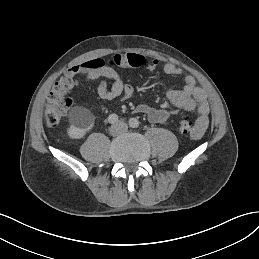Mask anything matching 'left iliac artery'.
I'll return each instance as SVG.
<instances>
[{
    "instance_id": "obj_1",
    "label": "left iliac artery",
    "mask_w": 259,
    "mask_h": 259,
    "mask_svg": "<svg viewBox=\"0 0 259 259\" xmlns=\"http://www.w3.org/2000/svg\"><path fill=\"white\" fill-rule=\"evenodd\" d=\"M139 124H140V122H139L136 118H131V119L129 120V125H130V127H132V128H138V127H139Z\"/></svg>"
}]
</instances>
